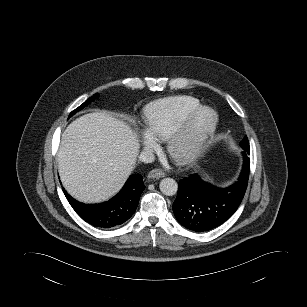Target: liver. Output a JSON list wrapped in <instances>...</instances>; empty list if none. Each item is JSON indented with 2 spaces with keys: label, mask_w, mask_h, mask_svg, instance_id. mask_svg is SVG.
Listing matches in <instances>:
<instances>
[{
  "label": "liver",
  "mask_w": 307,
  "mask_h": 307,
  "mask_svg": "<svg viewBox=\"0 0 307 307\" xmlns=\"http://www.w3.org/2000/svg\"><path fill=\"white\" fill-rule=\"evenodd\" d=\"M139 148L124 122L102 111L85 114L62 134L57 157L62 184L78 201L103 202L123 186Z\"/></svg>",
  "instance_id": "obj_1"
}]
</instances>
